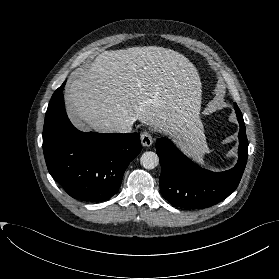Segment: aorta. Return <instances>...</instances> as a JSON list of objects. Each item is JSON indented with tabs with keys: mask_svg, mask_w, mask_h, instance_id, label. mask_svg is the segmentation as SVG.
<instances>
[{
	"mask_svg": "<svg viewBox=\"0 0 279 279\" xmlns=\"http://www.w3.org/2000/svg\"><path fill=\"white\" fill-rule=\"evenodd\" d=\"M140 163L145 169H154L159 164V157L155 152H144L141 155Z\"/></svg>",
	"mask_w": 279,
	"mask_h": 279,
	"instance_id": "1",
	"label": "aorta"
}]
</instances>
